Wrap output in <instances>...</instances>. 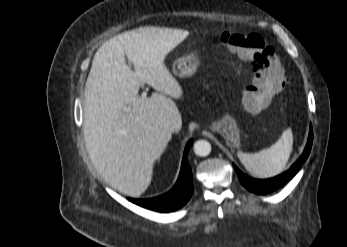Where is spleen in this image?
<instances>
[{
	"instance_id": "obj_1",
	"label": "spleen",
	"mask_w": 347,
	"mask_h": 247,
	"mask_svg": "<svg viewBox=\"0 0 347 247\" xmlns=\"http://www.w3.org/2000/svg\"><path fill=\"white\" fill-rule=\"evenodd\" d=\"M293 142V132L289 127L271 147L252 154L238 152V157L253 176L273 177L284 170L293 149Z\"/></svg>"
}]
</instances>
